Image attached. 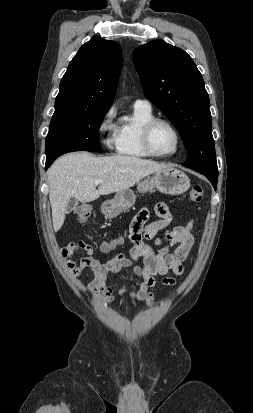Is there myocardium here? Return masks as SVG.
I'll use <instances>...</instances> for the list:
<instances>
[{"instance_id":"f54148a6","label":"myocardium","mask_w":253,"mask_h":413,"mask_svg":"<svg viewBox=\"0 0 253 413\" xmlns=\"http://www.w3.org/2000/svg\"><path fill=\"white\" fill-rule=\"evenodd\" d=\"M158 124H165L167 125L174 133L175 138H176V146L175 149L168 154H160L157 153L151 142V134L154 129V127ZM141 142L144 150L152 157H157V158H169L178 153L181 147V135L177 127L168 119L165 118H159V117H154L150 120H148L141 128Z\"/></svg>"}]
</instances>
